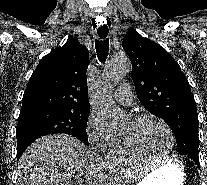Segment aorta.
I'll list each match as a JSON object with an SVG mask.
<instances>
[{"instance_id": "aorta-1", "label": "aorta", "mask_w": 207, "mask_h": 185, "mask_svg": "<svg viewBox=\"0 0 207 185\" xmlns=\"http://www.w3.org/2000/svg\"><path fill=\"white\" fill-rule=\"evenodd\" d=\"M130 69V59L127 56L119 55L109 60L102 72L103 88L100 107L111 127L116 130L122 129L129 117L116 105L112 92Z\"/></svg>"}]
</instances>
